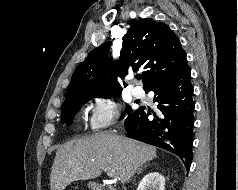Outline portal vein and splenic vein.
<instances>
[{
    "label": "portal vein and splenic vein",
    "mask_w": 238,
    "mask_h": 190,
    "mask_svg": "<svg viewBox=\"0 0 238 190\" xmlns=\"http://www.w3.org/2000/svg\"><path fill=\"white\" fill-rule=\"evenodd\" d=\"M104 171H106L107 175L111 178L117 179L116 173L114 170L104 168Z\"/></svg>",
    "instance_id": "portal-vein-and-splenic-vein-1"
}]
</instances>
